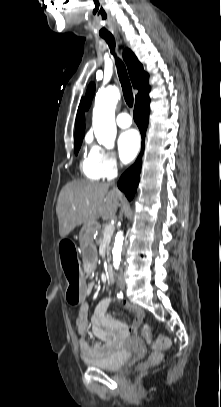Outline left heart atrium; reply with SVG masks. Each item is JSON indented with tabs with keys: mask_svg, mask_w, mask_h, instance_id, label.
Returning a JSON list of instances; mask_svg holds the SVG:
<instances>
[{
	"mask_svg": "<svg viewBox=\"0 0 221 407\" xmlns=\"http://www.w3.org/2000/svg\"><path fill=\"white\" fill-rule=\"evenodd\" d=\"M140 138L137 131L130 129L122 132L118 138L119 156L124 163L132 161L138 153Z\"/></svg>",
	"mask_w": 221,
	"mask_h": 407,
	"instance_id": "39dd6f15",
	"label": "left heart atrium"
}]
</instances>
